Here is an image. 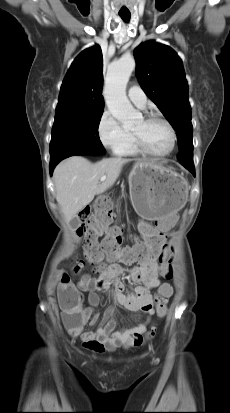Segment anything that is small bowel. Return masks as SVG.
Instances as JSON below:
<instances>
[{"label":"small bowel","instance_id":"obj_1","mask_svg":"<svg viewBox=\"0 0 230 413\" xmlns=\"http://www.w3.org/2000/svg\"><path fill=\"white\" fill-rule=\"evenodd\" d=\"M179 221L180 216L178 214H171L170 217L159 218L158 222H154L153 218H140L139 226L146 239L158 234V231H173L175 224ZM108 260L111 264L106 267L105 272L99 278L92 279L85 275L77 285L61 284L58 290L60 300L68 292L79 295L80 322L75 325L72 314L65 309L63 321L70 336L73 338L80 337L86 349L98 353L113 351L120 346H131L135 337H139L146 332L147 324L155 312L150 290L156 289V297L163 296L167 300L173 294L172 286L161 282L160 278L164 275L157 272L159 264L155 259L141 262L128 271V275L133 281L141 283V285L135 287L133 293L128 295L124 293V284L119 280V276L125 273V269L116 263L119 259ZM84 291H89V305L87 307L82 306L80 294ZM96 291L108 292L116 305L122 306L135 314L143 312L146 314V318L134 320L126 327L117 330L115 310L110 308L106 310L100 325L96 329L86 330V325L94 326L99 319V314L96 312L99 296Z\"/></svg>","mask_w":230,"mask_h":413}]
</instances>
